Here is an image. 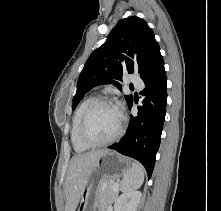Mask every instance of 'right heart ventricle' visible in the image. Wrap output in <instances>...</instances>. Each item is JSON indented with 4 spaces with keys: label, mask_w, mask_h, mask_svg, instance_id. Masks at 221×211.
<instances>
[{
    "label": "right heart ventricle",
    "mask_w": 221,
    "mask_h": 211,
    "mask_svg": "<svg viewBox=\"0 0 221 211\" xmlns=\"http://www.w3.org/2000/svg\"><path fill=\"white\" fill-rule=\"evenodd\" d=\"M95 96L93 94L87 96L78 106L76 109L73 120H72V128H71V140L73 143V146L76 151L82 152L86 151L90 148L89 145L85 144L79 134V127H80V121L82 118V115L86 108L95 100Z\"/></svg>",
    "instance_id": "e07e8e85"
}]
</instances>
